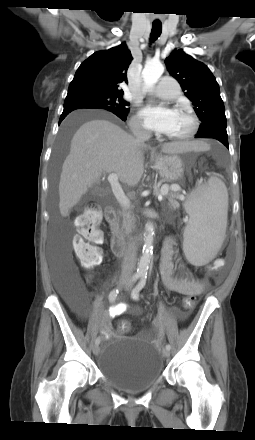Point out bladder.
<instances>
[{
	"mask_svg": "<svg viewBox=\"0 0 255 440\" xmlns=\"http://www.w3.org/2000/svg\"><path fill=\"white\" fill-rule=\"evenodd\" d=\"M98 369L112 388L136 394L148 390L161 378L164 362L152 344L137 337H122L105 342Z\"/></svg>",
	"mask_w": 255,
	"mask_h": 440,
	"instance_id": "1",
	"label": "bladder"
}]
</instances>
